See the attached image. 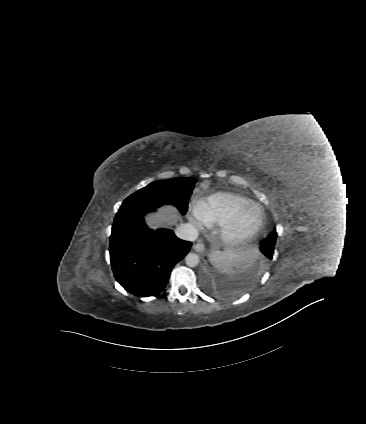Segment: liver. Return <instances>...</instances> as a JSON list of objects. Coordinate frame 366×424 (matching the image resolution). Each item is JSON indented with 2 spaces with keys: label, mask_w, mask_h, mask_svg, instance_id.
<instances>
[{
  "label": "liver",
  "mask_w": 366,
  "mask_h": 424,
  "mask_svg": "<svg viewBox=\"0 0 366 424\" xmlns=\"http://www.w3.org/2000/svg\"><path fill=\"white\" fill-rule=\"evenodd\" d=\"M159 214H151L146 217V223L153 229L169 226H178L182 222V216L177 209L171 205H165L159 209Z\"/></svg>",
  "instance_id": "obj_1"
}]
</instances>
